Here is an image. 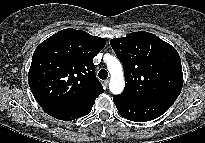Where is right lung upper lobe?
Returning <instances> with one entry per match:
<instances>
[{"label":"right lung upper lobe","mask_w":205,"mask_h":143,"mask_svg":"<svg viewBox=\"0 0 205 143\" xmlns=\"http://www.w3.org/2000/svg\"><path fill=\"white\" fill-rule=\"evenodd\" d=\"M105 42L104 38L69 28L35 49L28 83L44 111L77 110L104 92L95 76L93 58Z\"/></svg>","instance_id":"1"}]
</instances>
